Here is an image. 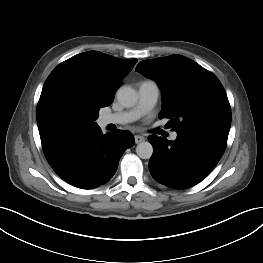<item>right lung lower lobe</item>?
<instances>
[{
  "label": "right lung lower lobe",
  "instance_id": "1",
  "mask_svg": "<svg viewBox=\"0 0 263 263\" xmlns=\"http://www.w3.org/2000/svg\"><path fill=\"white\" fill-rule=\"evenodd\" d=\"M41 143L48 163L59 177L77 188L93 189L113 177L119 159L135 140L127 130L103 135L97 126L41 138Z\"/></svg>",
  "mask_w": 263,
  "mask_h": 263
}]
</instances>
